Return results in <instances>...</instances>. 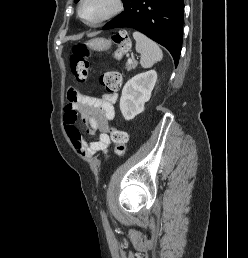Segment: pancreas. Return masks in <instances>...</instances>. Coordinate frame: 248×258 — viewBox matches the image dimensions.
Segmentation results:
<instances>
[{
    "label": "pancreas",
    "mask_w": 248,
    "mask_h": 258,
    "mask_svg": "<svg viewBox=\"0 0 248 258\" xmlns=\"http://www.w3.org/2000/svg\"><path fill=\"white\" fill-rule=\"evenodd\" d=\"M138 65L137 61H132L131 63H126V70L127 71H131L133 69H135Z\"/></svg>",
    "instance_id": "pancreas-1"
}]
</instances>
